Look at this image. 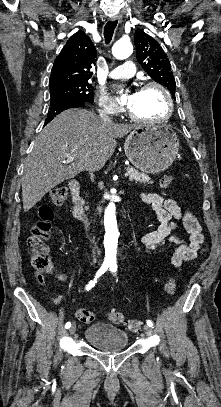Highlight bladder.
<instances>
[{
    "mask_svg": "<svg viewBox=\"0 0 221 407\" xmlns=\"http://www.w3.org/2000/svg\"><path fill=\"white\" fill-rule=\"evenodd\" d=\"M85 340L103 351H115L126 347L128 334L107 323H93L84 332Z\"/></svg>",
    "mask_w": 221,
    "mask_h": 407,
    "instance_id": "31cf9c89",
    "label": "bladder"
}]
</instances>
